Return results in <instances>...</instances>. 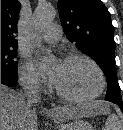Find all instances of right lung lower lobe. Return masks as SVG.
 Here are the masks:
<instances>
[{
  "mask_svg": "<svg viewBox=\"0 0 123 130\" xmlns=\"http://www.w3.org/2000/svg\"><path fill=\"white\" fill-rule=\"evenodd\" d=\"M1 84L9 87L16 86L18 84L17 78L8 77L6 75H1Z\"/></svg>",
  "mask_w": 123,
  "mask_h": 130,
  "instance_id": "obj_1",
  "label": "right lung lower lobe"
}]
</instances>
